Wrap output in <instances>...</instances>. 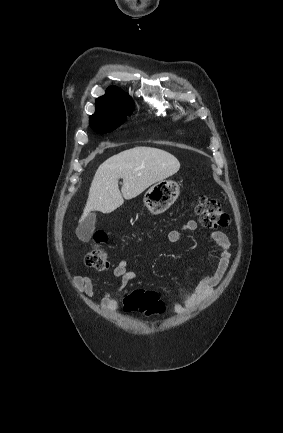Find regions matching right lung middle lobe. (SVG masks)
Here are the masks:
<instances>
[{"mask_svg": "<svg viewBox=\"0 0 283 433\" xmlns=\"http://www.w3.org/2000/svg\"><path fill=\"white\" fill-rule=\"evenodd\" d=\"M132 111H116L97 115H91L89 122L98 133H108L116 129L126 120Z\"/></svg>", "mask_w": 283, "mask_h": 433, "instance_id": "1", "label": "right lung middle lobe"}]
</instances>
